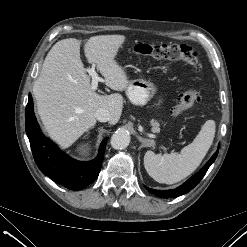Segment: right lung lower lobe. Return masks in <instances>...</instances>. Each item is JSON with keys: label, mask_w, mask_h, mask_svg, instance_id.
<instances>
[{"label": "right lung lower lobe", "mask_w": 247, "mask_h": 247, "mask_svg": "<svg viewBox=\"0 0 247 247\" xmlns=\"http://www.w3.org/2000/svg\"><path fill=\"white\" fill-rule=\"evenodd\" d=\"M25 125L34 160L40 171L51 180L75 191L87 187L96 180L108 138L102 141L98 156L92 161L80 162L70 158L42 134L34 115L31 94L25 111Z\"/></svg>", "instance_id": "1"}]
</instances>
